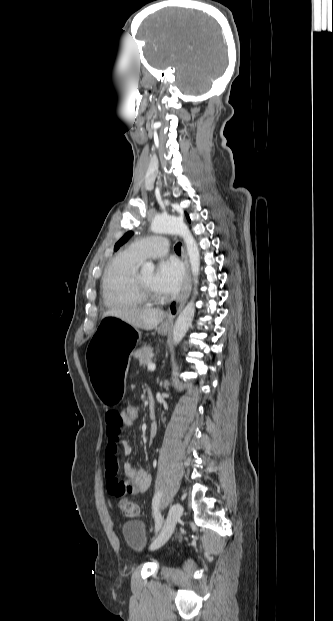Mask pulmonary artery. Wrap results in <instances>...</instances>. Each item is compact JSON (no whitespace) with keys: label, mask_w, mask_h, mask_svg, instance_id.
Instances as JSON below:
<instances>
[{"label":"pulmonary artery","mask_w":333,"mask_h":621,"mask_svg":"<svg viewBox=\"0 0 333 621\" xmlns=\"http://www.w3.org/2000/svg\"><path fill=\"white\" fill-rule=\"evenodd\" d=\"M168 251L167 239L161 236H152L133 242L127 252L140 261L146 258L163 256Z\"/></svg>","instance_id":"e3ab8cb5"}]
</instances>
